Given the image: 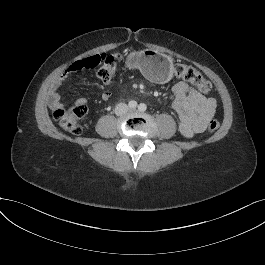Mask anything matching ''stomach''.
<instances>
[{"label":"stomach","instance_id":"1","mask_svg":"<svg viewBox=\"0 0 265 265\" xmlns=\"http://www.w3.org/2000/svg\"><path fill=\"white\" fill-rule=\"evenodd\" d=\"M126 64L129 69H139L144 76L157 83H166L172 78V59L154 50L131 52Z\"/></svg>","mask_w":265,"mask_h":265}]
</instances>
